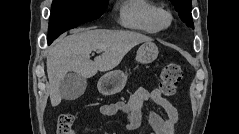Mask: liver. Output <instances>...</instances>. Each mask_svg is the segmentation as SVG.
Returning a JSON list of instances; mask_svg holds the SVG:
<instances>
[{"mask_svg": "<svg viewBox=\"0 0 239 134\" xmlns=\"http://www.w3.org/2000/svg\"><path fill=\"white\" fill-rule=\"evenodd\" d=\"M146 41L151 38L137 32L103 29H81L57 40L50 48L46 62L52 106L61 103L60 82L68 72L90 78L98 71L112 70L134 46ZM96 50L101 54L91 60L90 54Z\"/></svg>", "mask_w": 239, "mask_h": 134, "instance_id": "1", "label": "liver"}]
</instances>
